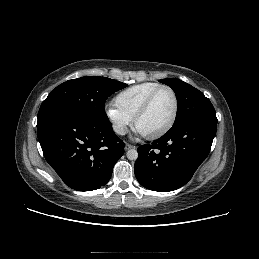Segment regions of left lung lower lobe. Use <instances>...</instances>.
I'll use <instances>...</instances> for the list:
<instances>
[{
	"label": "left lung lower lobe",
	"instance_id": "0a47b994",
	"mask_svg": "<svg viewBox=\"0 0 259 259\" xmlns=\"http://www.w3.org/2000/svg\"><path fill=\"white\" fill-rule=\"evenodd\" d=\"M217 122L192 118L174 124L152 144L138 147L134 172L145 188L158 192L185 185L208 156Z\"/></svg>",
	"mask_w": 259,
	"mask_h": 259
}]
</instances>
